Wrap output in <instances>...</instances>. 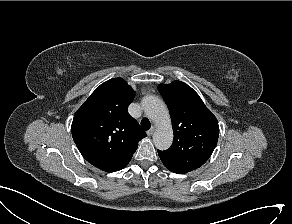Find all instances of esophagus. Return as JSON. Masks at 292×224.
Returning <instances> with one entry per match:
<instances>
[{"label":"esophagus","instance_id":"esophagus-1","mask_svg":"<svg viewBox=\"0 0 292 224\" xmlns=\"http://www.w3.org/2000/svg\"><path fill=\"white\" fill-rule=\"evenodd\" d=\"M155 129H156V127H155V126H152L151 129L147 131V135H148V136L153 135Z\"/></svg>","mask_w":292,"mask_h":224}]
</instances>
